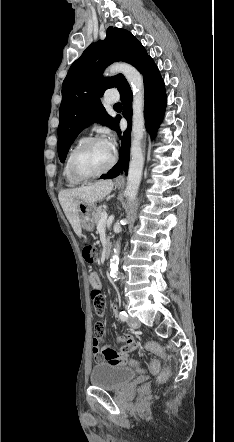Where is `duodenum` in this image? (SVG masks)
<instances>
[{
    "mask_svg": "<svg viewBox=\"0 0 234 442\" xmlns=\"http://www.w3.org/2000/svg\"><path fill=\"white\" fill-rule=\"evenodd\" d=\"M111 249H112V247H111L110 244H107V245L102 249L101 256H102L103 260L108 259L109 255H110V253H111Z\"/></svg>",
    "mask_w": 234,
    "mask_h": 442,
    "instance_id": "duodenum-1",
    "label": "duodenum"
}]
</instances>
